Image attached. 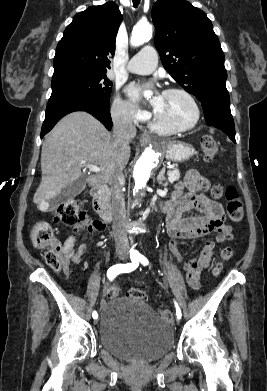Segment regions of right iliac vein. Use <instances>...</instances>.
Returning <instances> with one entry per match:
<instances>
[{"instance_id": "obj_1", "label": "right iliac vein", "mask_w": 267, "mask_h": 391, "mask_svg": "<svg viewBox=\"0 0 267 391\" xmlns=\"http://www.w3.org/2000/svg\"><path fill=\"white\" fill-rule=\"evenodd\" d=\"M98 323V319L96 318L95 320H94V324H97Z\"/></svg>"}]
</instances>
